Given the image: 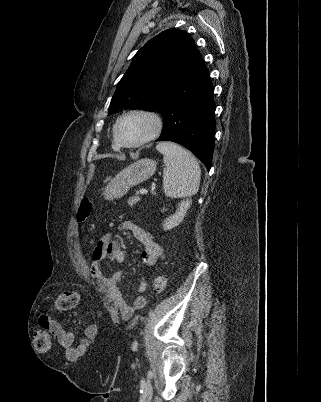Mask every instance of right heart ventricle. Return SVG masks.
Returning <instances> with one entry per match:
<instances>
[{
	"mask_svg": "<svg viewBox=\"0 0 321 402\" xmlns=\"http://www.w3.org/2000/svg\"><path fill=\"white\" fill-rule=\"evenodd\" d=\"M112 148L116 151L120 150V147L118 146V144L116 143L115 139H113L112 141Z\"/></svg>",
	"mask_w": 321,
	"mask_h": 402,
	"instance_id": "e07e8e85",
	"label": "right heart ventricle"
}]
</instances>
